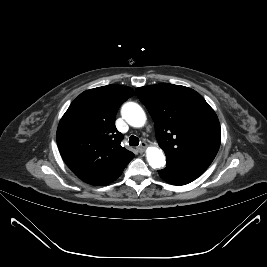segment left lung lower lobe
<instances>
[{"mask_svg": "<svg viewBox=\"0 0 267 267\" xmlns=\"http://www.w3.org/2000/svg\"><path fill=\"white\" fill-rule=\"evenodd\" d=\"M162 179L173 185H185L198 178L203 171L167 159V166L158 170Z\"/></svg>", "mask_w": 267, "mask_h": 267, "instance_id": "left-lung-lower-lobe-1", "label": "left lung lower lobe"}]
</instances>
